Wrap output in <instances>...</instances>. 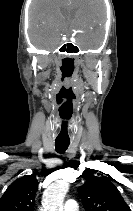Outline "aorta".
<instances>
[{"mask_svg": "<svg viewBox=\"0 0 133 211\" xmlns=\"http://www.w3.org/2000/svg\"><path fill=\"white\" fill-rule=\"evenodd\" d=\"M69 190V183L59 180L51 184L43 195V211H63V201Z\"/></svg>", "mask_w": 133, "mask_h": 211, "instance_id": "762f6f07", "label": "aorta"}]
</instances>
